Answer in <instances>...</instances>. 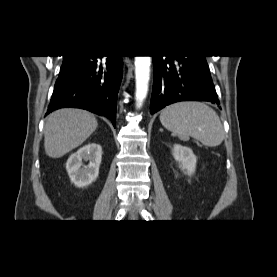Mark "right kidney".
I'll return each instance as SVG.
<instances>
[{"instance_id":"ca27d5eb","label":"right kidney","mask_w":277,"mask_h":277,"mask_svg":"<svg viewBox=\"0 0 277 277\" xmlns=\"http://www.w3.org/2000/svg\"><path fill=\"white\" fill-rule=\"evenodd\" d=\"M102 148L99 144L89 143L72 154L66 163V170L75 186L82 188L94 182L99 174ZM90 161L87 166L82 161Z\"/></svg>"}]
</instances>
